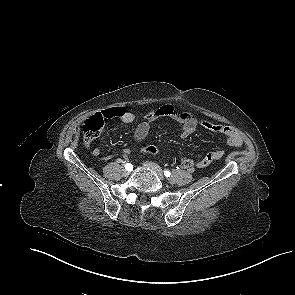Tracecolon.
<instances>
[{
	"label": "colon",
	"instance_id": "obj_1",
	"mask_svg": "<svg viewBox=\"0 0 295 295\" xmlns=\"http://www.w3.org/2000/svg\"><path fill=\"white\" fill-rule=\"evenodd\" d=\"M104 124V119L100 115H94L87 119L83 125L84 139L86 142H91L98 136ZM145 154L153 155L157 154V149L153 146H149L144 150Z\"/></svg>",
	"mask_w": 295,
	"mask_h": 295
}]
</instances>
